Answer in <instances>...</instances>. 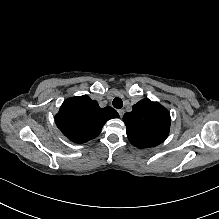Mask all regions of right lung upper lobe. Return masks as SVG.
Listing matches in <instances>:
<instances>
[{
    "instance_id": "obj_1",
    "label": "right lung upper lobe",
    "mask_w": 219,
    "mask_h": 219,
    "mask_svg": "<svg viewBox=\"0 0 219 219\" xmlns=\"http://www.w3.org/2000/svg\"><path fill=\"white\" fill-rule=\"evenodd\" d=\"M118 117L112 107L100 108L95 100L83 95L65 100L55 121L69 140L84 143L97 137L109 119Z\"/></svg>"
}]
</instances>
